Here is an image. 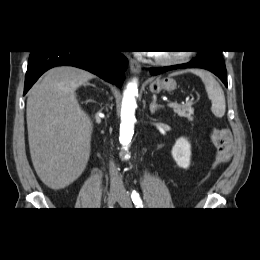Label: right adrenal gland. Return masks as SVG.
I'll return each instance as SVG.
<instances>
[{"label": "right adrenal gland", "instance_id": "1", "mask_svg": "<svg viewBox=\"0 0 260 260\" xmlns=\"http://www.w3.org/2000/svg\"><path fill=\"white\" fill-rule=\"evenodd\" d=\"M85 85H87V86H92V87H95V88H96V85H94V84L86 83Z\"/></svg>", "mask_w": 260, "mask_h": 260}]
</instances>
